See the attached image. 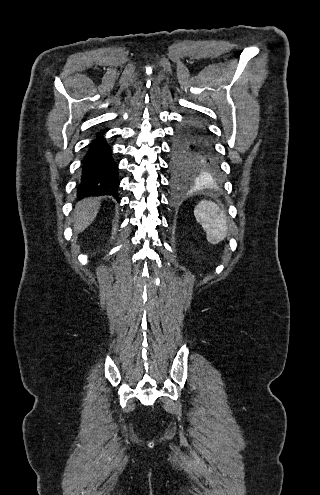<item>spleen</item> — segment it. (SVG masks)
I'll return each instance as SVG.
<instances>
[{
  "mask_svg": "<svg viewBox=\"0 0 320 495\" xmlns=\"http://www.w3.org/2000/svg\"><path fill=\"white\" fill-rule=\"evenodd\" d=\"M197 222L206 233L207 241L213 245L220 243L228 234L227 218L212 201L203 200L194 209Z\"/></svg>",
  "mask_w": 320,
  "mask_h": 495,
  "instance_id": "spleen-1",
  "label": "spleen"
}]
</instances>
